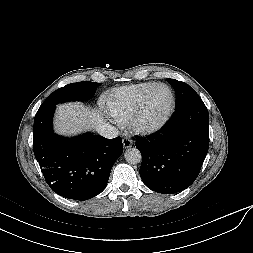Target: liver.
Here are the masks:
<instances>
[{
    "label": "liver",
    "instance_id": "6515ba94",
    "mask_svg": "<svg viewBox=\"0 0 253 253\" xmlns=\"http://www.w3.org/2000/svg\"><path fill=\"white\" fill-rule=\"evenodd\" d=\"M104 122V117L94 109L86 108L82 103L73 102L57 107L54 127L57 133L72 135L96 128Z\"/></svg>",
    "mask_w": 253,
    "mask_h": 253
}]
</instances>
